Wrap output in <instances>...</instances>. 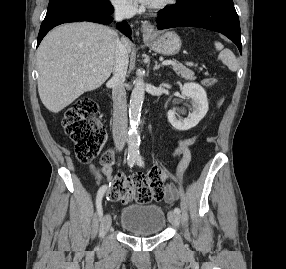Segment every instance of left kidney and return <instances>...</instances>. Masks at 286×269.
<instances>
[{"instance_id":"1","label":"left kidney","mask_w":286,"mask_h":269,"mask_svg":"<svg viewBox=\"0 0 286 269\" xmlns=\"http://www.w3.org/2000/svg\"><path fill=\"white\" fill-rule=\"evenodd\" d=\"M182 97L192 101L193 111L185 119L178 118L175 110H169L167 115L169 122L174 128L186 131L195 127L206 115L208 101L206 91L197 83H185L182 88Z\"/></svg>"}]
</instances>
